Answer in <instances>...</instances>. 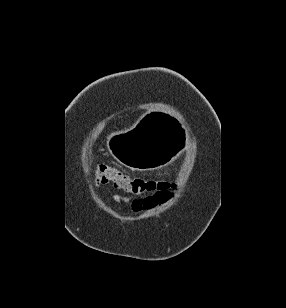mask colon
I'll return each instance as SVG.
<instances>
[{
  "instance_id": "obj_1",
  "label": "colon",
  "mask_w": 286,
  "mask_h": 308,
  "mask_svg": "<svg viewBox=\"0 0 286 308\" xmlns=\"http://www.w3.org/2000/svg\"><path fill=\"white\" fill-rule=\"evenodd\" d=\"M94 180L98 185H111L124 193L136 196H161L170 187L168 182L132 177L108 164H102L96 168L94 171Z\"/></svg>"
}]
</instances>
